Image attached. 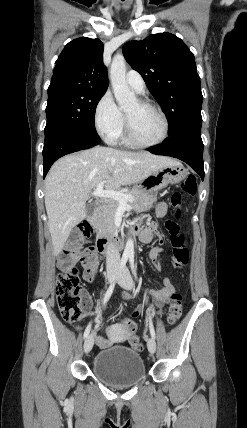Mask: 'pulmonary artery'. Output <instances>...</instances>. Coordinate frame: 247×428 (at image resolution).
<instances>
[{"instance_id": "1", "label": "pulmonary artery", "mask_w": 247, "mask_h": 428, "mask_svg": "<svg viewBox=\"0 0 247 428\" xmlns=\"http://www.w3.org/2000/svg\"><path fill=\"white\" fill-rule=\"evenodd\" d=\"M126 83L136 93H143L145 90V82L137 71L130 70L127 73Z\"/></svg>"}]
</instances>
